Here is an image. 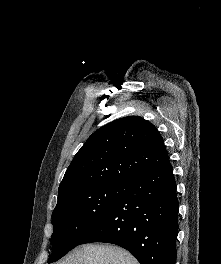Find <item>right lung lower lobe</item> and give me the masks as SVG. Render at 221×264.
Returning a JSON list of instances; mask_svg holds the SVG:
<instances>
[{"label": "right lung lower lobe", "instance_id": "obj_1", "mask_svg": "<svg viewBox=\"0 0 221 264\" xmlns=\"http://www.w3.org/2000/svg\"><path fill=\"white\" fill-rule=\"evenodd\" d=\"M178 208L168 163L127 181L113 208L81 244L112 243L141 264H175Z\"/></svg>", "mask_w": 221, "mask_h": 264}]
</instances>
